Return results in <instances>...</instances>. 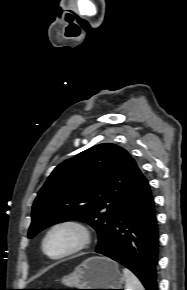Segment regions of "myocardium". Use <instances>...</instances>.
<instances>
[{"label":"myocardium","instance_id":"obj_1","mask_svg":"<svg viewBox=\"0 0 187 290\" xmlns=\"http://www.w3.org/2000/svg\"><path fill=\"white\" fill-rule=\"evenodd\" d=\"M59 229H69L76 233L77 241L76 243L67 251L58 254L51 255L48 253L46 244L49 237ZM92 240V234L90 228L81 220L78 219H63L52 224L46 231L42 240V250L44 254L53 260H60L63 258L70 257L74 254L79 253L89 246Z\"/></svg>","mask_w":187,"mask_h":290}]
</instances>
